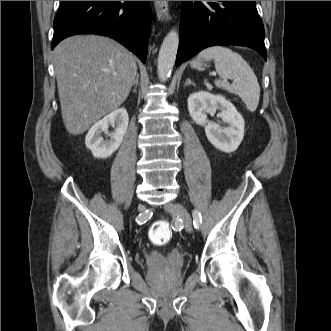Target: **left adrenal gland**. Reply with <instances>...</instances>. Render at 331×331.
I'll return each instance as SVG.
<instances>
[{"mask_svg":"<svg viewBox=\"0 0 331 331\" xmlns=\"http://www.w3.org/2000/svg\"><path fill=\"white\" fill-rule=\"evenodd\" d=\"M187 85H193L195 86L194 82L191 81V79H187L186 83H185V86Z\"/></svg>","mask_w":331,"mask_h":331,"instance_id":"a2214340","label":"left adrenal gland"}]
</instances>
